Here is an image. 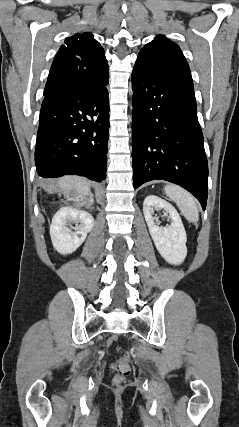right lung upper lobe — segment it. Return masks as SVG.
I'll list each match as a JSON object with an SVG mask.
<instances>
[{
  "instance_id": "1",
  "label": "right lung upper lobe",
  "mask_w": 239,
  "mask_h": 427,
  "mask_svg": "<svg viewBox=\"0 0 239 427\" xmlns=\"http://www.w3.org/2000/svg\"><path fill=\"white\" fill-rule=\"evenodd\" d=\"M108 73L104 49L91 33L65 39L51 66L44 93L75 81H93Z\"/></svg>"
}]
</instances>
